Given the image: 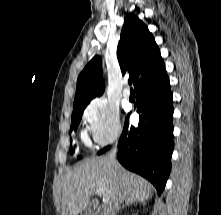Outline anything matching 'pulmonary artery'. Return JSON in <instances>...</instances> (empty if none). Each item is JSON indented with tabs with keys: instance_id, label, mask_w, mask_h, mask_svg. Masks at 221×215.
<instances>
[{
	"instance_id": "pulmonary-artery-1",
	"label": "pulmonary artery",
	"mask_w": 221,
	"mask_h": 215,
	"mask_svg": "<svg viewBox=\"0 0 221 215\" xmlns=\"http://www.w3.org/2000/svg\"><path fill=\"white\" fill-rule=\"evenodd\" d=\"M123 96H124V98H126V99H128V98L130 97V91H129V89L125 88V89L123 90Z\"/></svg>"
}]
</instances>
